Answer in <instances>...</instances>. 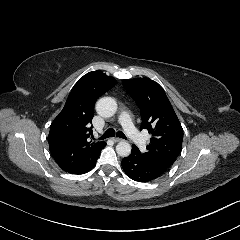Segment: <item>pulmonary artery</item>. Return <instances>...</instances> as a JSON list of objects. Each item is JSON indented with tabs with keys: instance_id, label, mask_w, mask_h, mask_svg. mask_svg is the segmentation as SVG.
Wrapping results in <instances>:
<instances>
[{
	"instance_id": "obj_1",
	"label": "pulmonary artery",
	"mask_w": 240,
	"mask_h": 240,
	"mask_svg": "<svg viewBox=\"0 0 240 240\" xmlns=\"http://www.w3.org/2000/svg\"><path fill=\"white\" fill-rule=\"evenodd\" d=\"M122 127L124 128V132L136 142V145L139 149L145 148L144 140L142 139V135L139 134L138 131H135L133 126L128 122L126 118L121 120Z\"/></svg>"
}]
</instances>
